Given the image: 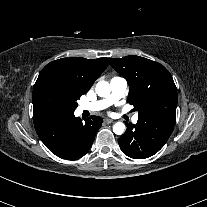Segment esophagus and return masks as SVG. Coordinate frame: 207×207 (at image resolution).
<instances>
[{
    "label": "esophagus",
    "mask_w": 207,
    "mask_h": 207,
    "mask_svg": "<svg viewBox=\"0 0 207 207\" xmlns=\"http://www.w3.org/2000/svg\"><path fill=\"white\" fill-rule=\"evenodd\" d=\"M104 122L107 123V124H110V123H112L113 121H112L110 118H105V119H104Z\"/></svg>",
    "instance_id": "34e87169"
}]
</instances>
